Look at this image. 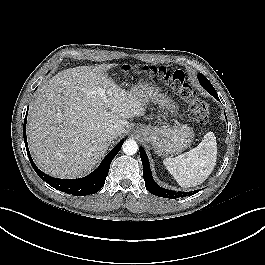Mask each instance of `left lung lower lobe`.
Returning <instances> with one entry per match:
<instances>
[{
  "label": "left lung lower lobe",
  "instance_id": "left-lung-lower-lobe-1",
  "mask_svg": "<svg viewBox=\"0 0 265 265\" xmlns=\"http://www.w3.org/2000/svg\"><path fill=\"white\" fill-rule=\"evenodd\" d=\"M198 79H199L200 84L207 90V92L211 94L213 97H215L217 100H219V97L214 87L209 82V80L201 73L198 74ZM139 150H140L141 161L143 164V178L145 180V186L151 194L157 195L159 197L176 199L178 197L191 196L197 193V191L176 192V191L167 190V189L160 187L152 178L150 165H149L148 157L146 155L145 150L143 149V147H140Z\"/></svg>",
  "mask_w": 265,
  "mask_h": 265
}]
</instances>
